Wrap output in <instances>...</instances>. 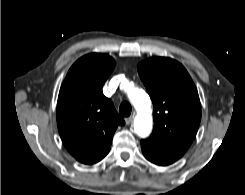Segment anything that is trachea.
<instances>
[{
	"label": "trachea",
	"mask_w": 245,
	"mask_h": 195,
	"mask_svg": "<svg viewBox=\"0 0 245 195\" xmlns=\"http://www.w3.org/2000/svg\"><path fill=\"white\" fill-rule=\"evenodd\" d=\"M119 113L123 117H128L131 114V105L129 102L124 101L119 107Z\"/></svg>",
	"instance_id": "obj_1"
}]
</instances>
